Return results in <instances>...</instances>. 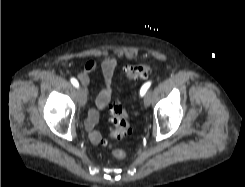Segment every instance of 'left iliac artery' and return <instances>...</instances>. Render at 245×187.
I'll list each match as a JSON object with an SVG mask.
<instances>
[{
    "instance_id": "1",
    "label": "left iliac artery",
    "mask_w": 245,
    "mask_h": 187,
    "mask_svg": "<svg viewBox=\"0 0 245 187\" xmlns=\"http://www.w3.org/2000/svg\"><path fill=\"white\" fill-rule=\"evenodd\" d=\"M150 85H151V82H146V83L141 87V89H140V95H141V96H143V95L147 92V90H148V88L150 87Z\"/></svg>"
}]
</instances>
